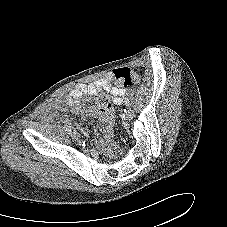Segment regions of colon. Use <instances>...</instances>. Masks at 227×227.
Listing matches in <instances>:
<instances>
[{
    "label": "colon",
    "instance_id": "5ec220e1",
    "mask_svg": "<svg viewBox=\"0 0 227 227\" xmlns=\"http://www.w3.org/2000/svg\"><path fill=\"white\" fill-rule=\"evenodd\" d=\"M140 81V75L128 68H120L113 72L112 83L122 89L131 84L138 83ZM97 107L101 112H106L110 107V99L107 95H100L97 98Z\"/></svg>",
    "mask_w": 227,
    "mask_h": 227
}]
</instances>
